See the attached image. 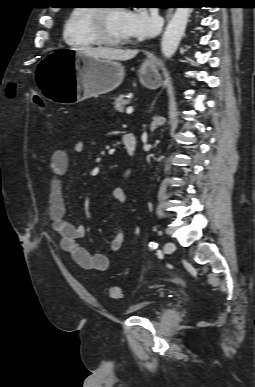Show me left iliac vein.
I'll return each mask as SVG.
<instances>
[{
    "mask_svg": "<svg viewBox=\"0 0 255 387\" xmlns=\"http://www.w3.org/2000/svg\"><path fill=\"white\" fill-rule=\"evenodd\" d=\"M175 244L173 242H167L164 245V252L166 254H171L175 251Z\"/></svg>",
    "mask_w": 255,
    "mask_h": 387,
    "instance_id": "4c4485c4",
    "label": "left iliac vein"
}]
</instances>
